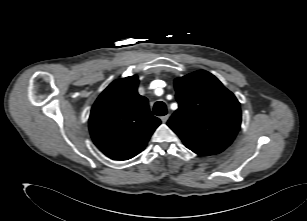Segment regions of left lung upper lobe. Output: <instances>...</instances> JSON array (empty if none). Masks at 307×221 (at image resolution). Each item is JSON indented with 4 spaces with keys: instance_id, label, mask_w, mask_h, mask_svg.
I'll list each match as a JSON object with an SVG mask.
<instances>
[{
    "instance_id": "left-lung-upper-lobe-1",
    "label": "left lung upper lobe",
    "mask_w": 307,
    "mask_h": 221,
    "mask_svg": "<svg viewBox=\"0 0 307 221\" xmlns=\"http://www.w3.org/2000/svg\"><path fill=\"white\" fill-rule=\"evenodd\" d=\"M179 108L167 125L193 152L218 154L235 139L240 103L211 73L199 70L175 79Z\"/></svg>"
}]
</instances>
